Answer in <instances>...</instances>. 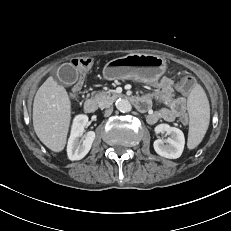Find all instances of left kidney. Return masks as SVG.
Returning <instances> with one entry per match:
<instances>
[{
	"instance_id": "5707ae66",
	"label": "left kidney",
	"mask_w": 231,
	"mask_h": 231,
	"mask_svg": "<svg viewBox=\"0 0 231 231\" xmlns=\"http://www.w3.org/2000/svg\"><path fill=\"white\" fill-rule=\"evenodd\" d=\"M155 132L167 133L169 138L166 140L167 144H164V140L157 139L154 141V150L156 153L162 157L168 159H177L181 156L184 145L185 137L183 132L176 128L171 127L168 124H159L155 127Z\"/></svg>"
}]
</instances>
